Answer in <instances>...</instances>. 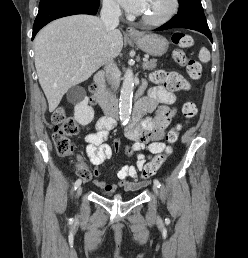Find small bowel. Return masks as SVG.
Masks as SVG:
<instances>
[{
    "label": "small bowel",
    "mask_w": 248,
    "mask_h": 258,
    "mask_svg": "<svg viewBox=\"0 0 248 258\" xmlns=\"http://www.w3.org/2000/svg\"><path fill=\"white\" fill-rule=\"evenodd\" d=\"M173 73L180 77L178 73ZM174 100L175 96L171 91L164 87H157L137 103L133 120L125 129L126 137L134 144L133 152L136 154V166H123L117 173L120 180L117 185L96 180L95 186L107 192H113L117 187L126 191H135L141 187L142 183L137 178L138 171L143 170L166 148L162 140L166 135L170 120L175 114V110L168 107ZM146 112H155V115L144 118L143 114ZM114 126L113 119L102 117L96 123V131L85 136L86 152L93 165L100 166L110 158L112 151L106 140ZM143 150H147L148 153L144 154ZM94 174L98 177L100 173L96 170ZM128 178H131L132 181H129Z\"/></svg>",
    "instance_id": "1"
}]
</instances>
